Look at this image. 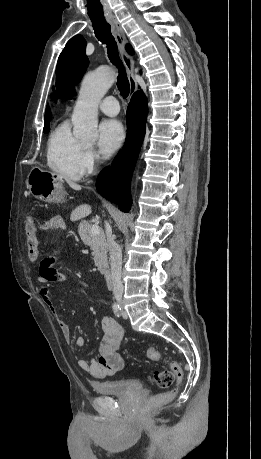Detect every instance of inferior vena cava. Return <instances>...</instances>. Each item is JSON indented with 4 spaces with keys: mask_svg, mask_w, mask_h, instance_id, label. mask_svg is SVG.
<instances>
[{
    "mask_svg": "<svg viewBox=\"0 0 261 459\" xmlns=\"http://www.w3.org/2000/svg\"><path fill=\"white\" fill-rule=\"evenodd\" d=\"M105 227L107 234V246L110 253L113 294L116 301L120 302L122 300L124 290L121 280L122 253L118 244L115 242L114 237L112 236L111 227L108 222L105 223Z\"/></svg>",
    "mask_w": 261,
    "mask_h": 459,
    "instance_id": "inferior-vena-cava-1",
    "label": "inferior vena cava"
}]
</instances>
